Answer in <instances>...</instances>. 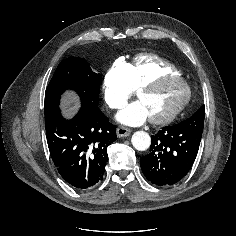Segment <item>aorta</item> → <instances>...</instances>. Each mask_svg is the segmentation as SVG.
I'll return each instance as SVG.
<instances>
[{"instance_id":"obj_1","label":"aorta","mask_w":236,"mask_h":236,"mask_svg":"<svg viewBox=\"0 0 236 236\" xmlns=\"http://www.w3.org/2000/svg\"><path fill=\"white\" fill-rule=\"evenodd\" d=\"M132 145L139 151L147 150L151 144V138L145 131H137L132 135Z\"/></svg>"}]
</instances>
